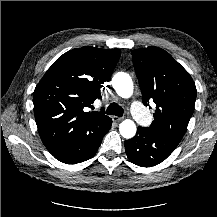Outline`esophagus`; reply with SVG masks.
Instances as JSON below:
<instances>
[{
  "instance_id": "1",
  "label": "esophagus",
  "mask_w": 217,
  "mask_h": 217,
  "mask_svg": "<svg viewBox=\"0 0 217 217\" xmlns=\"http://www.w3.org/2000/svg\"><path fill=\"white\" fill-rule=\"evenodd\" d=\"M112 120H113V122H119V121H121L122 120V118H120V117H118V116H113L112 117Z\"/></svg>"
}]
</instances>
